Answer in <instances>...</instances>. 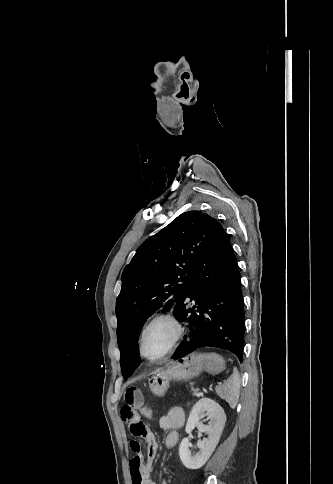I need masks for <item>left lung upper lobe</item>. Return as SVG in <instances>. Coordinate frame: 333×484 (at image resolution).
<instances>
[{"instance_id":"1","label":"left lung upper lobe","mask_w":333,"mask_h":484,"mask_svg":"<svg viewBox=\"0 0 333 484\" xmlns=\"http://www.w3.org/2000/svg\"><path fill=\"white\" fill-rule=\"evenodd\" d=\"M212 220L200 211L182 213L143 242L124 268L116 316L125 379L133 374L140 361L137 341L146 319L159 309L165 311L178 301L188 300L187 274Z\"/></svg>"}]
</instances>
